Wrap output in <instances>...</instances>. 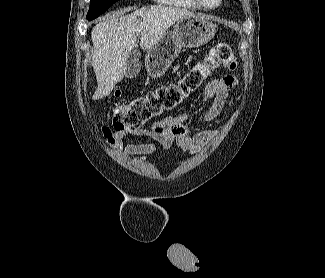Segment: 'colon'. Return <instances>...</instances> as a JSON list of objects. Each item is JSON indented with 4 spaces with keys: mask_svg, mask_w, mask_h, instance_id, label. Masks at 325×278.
Masks as SVG:
<instances>
[{
    "mask_svg": "<svg viewBox=\"0 0 325 278\" xmlns=\"http://www.w3.org/2000/svg\"><path fill=\"white\" fill-rule=\"evenodd\" d=\"M218 67L229 71H234L237 67L236 57L227 43L216 44L205 61L194 65L178 81L161 85L144 96L123 102L119 100L120 93L116 91L111 98L113 130H138L150 120L173 110ZM103 131L105 135H111L109 128L105 127Z\"/></svg>",
    "mask_w": 325,
    "mask_h": 278,
    "instance_id": "1",
    "label": "colon"
}]
</instances>
